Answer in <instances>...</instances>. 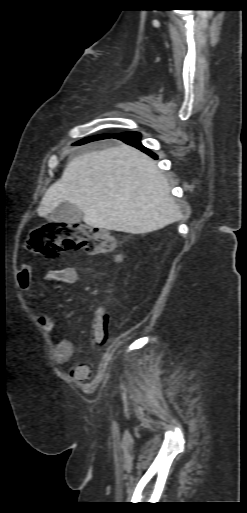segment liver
Returning <instances> with one entry per match:
<instances>
[{"instance_id": "6515ba94", "label": "liver", "mask_w": 247, "mask_h": 513, "mask_svg": "<svg viewBox=\"0 0 247 513\" xmlns=\"http://www.w3.org/2000/svg\"><path fill=\"white\" fill-rule=\"evenodd\" d=\"M74 204L93 228L145 234L181 213L155 160L127 144L79 155L45 192L37 210L47 219L61 203Z\"/></svg>"}]
</instances>
